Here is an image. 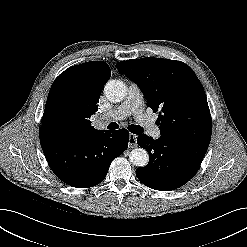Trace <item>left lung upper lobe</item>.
Here are the masks:
<instances>
[{
	"mask_svg": "<svg viewBox=\"0 0 247 247\" xmlns=\"http://www.w3.org/2000/svg\"><path fill=\"white\" fill-rule=\"evenodd\" d=\"M116 68L139 85L154 112L161 110L156 121L161 136L209 146L210 110L203 86L188 65L148 57L121 61Z\"/></svg>",
	"mask_w": 247,
	"mask_h": 247,
	"instance_id": "left-lung-upper-lobe-1",
	"label": "left lung upper lobe"
}]
</instances>
